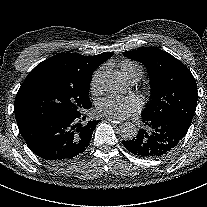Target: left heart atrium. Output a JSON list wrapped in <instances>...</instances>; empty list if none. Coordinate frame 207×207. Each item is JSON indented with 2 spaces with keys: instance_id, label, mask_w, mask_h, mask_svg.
<instances>
[{
  "instance_id": "1",
  "label": "left heart atrium",
  "mask_w": 207,
  "mask_h": 207,
  "mask_svg": "<svg viewBox=\"0 0 207 207\" xmlns=\"http://www.w3.org/2000/svg\"><path fill=\"white\" fill-rule=\"evenodd\" d=\"M141 107L142 102L136 96L109 95L100 100L98 111L105 117L123 120L138 113Z\"/></svg>"
}]
</instances>
